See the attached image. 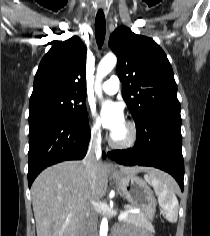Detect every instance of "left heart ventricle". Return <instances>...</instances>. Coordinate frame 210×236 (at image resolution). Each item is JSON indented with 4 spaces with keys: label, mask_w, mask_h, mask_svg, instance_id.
Returning <instances> with one entry per match:
<instances>
[{
    "label": "left heart ventricle",
    "mask_w": 210,
    "mask_h": 236,
    "mask_svg": "<svg viewBox=\"0 0 210 236\" xmlns=\"http://www.w3.org/2000/svg\"><path fill=\"white\" fill-rule=\"evenodd\" d=\"M127 136H128V128L126 124H124L119 130L113 133V137L118 141L126 139Z\"/></svg>",
    "instance_id": "obj_1"
}]
</instances>
